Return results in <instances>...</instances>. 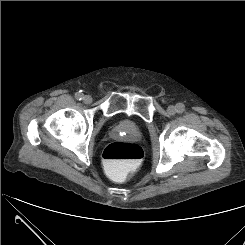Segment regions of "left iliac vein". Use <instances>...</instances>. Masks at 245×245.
<instances>
[{
  "instance_id": "1",
  "label": "left iliac vein",
  "mask_w": 245,
  "mask_h": 245,
  "mask_svg": "<svg viewBox=\"0 0 245 245\" xmlns=\"http://www.w3.org/2000/svg\"><path fill=\"white\" fill-rule=\"evenodd\" d=\"M167 112L170 114V115H174L176 112H177V108L173 105H170L168 108H167Z\"/></svg>"
}]
</instances>
